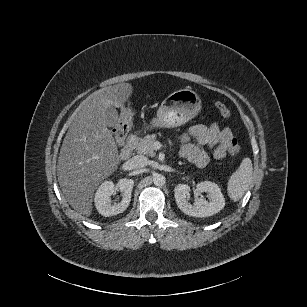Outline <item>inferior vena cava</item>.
<instances>
[{
  "instance_id": "1",
  "label": "inferior vena cava",
  "mask_w": 307,
  "mask_h": 307,
  "mask_svg": "<svg viewBox=\"0 0 307 307\" xmlns=\"http://www.w3.org/2000/svg\"><path fill=\"white\" fill-rule=\"evenodd\" d=\"M131 163L135 167H145L146 165H148L149 160L143 155H135L131 158Z\"/></svg>"
}]
</instances>
